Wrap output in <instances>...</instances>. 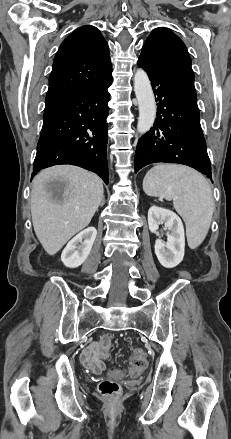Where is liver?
Here are the masks:
<instances>
[{"mask_svg": "<svg viewBox=\"0 0 231 439\" xmlns=\"http://www.w3.org/2000/svg\"><path fill=\"white\" fill-rule=\"evenodd\" d=\"M60 179L55 190L51 181ZM102 180L95 174L68 165L42 170L33 180L31 215L35 234L49 255L56 254L70 238L89 225L103 196Z\"/></svg>", "mask_w": 231, "mask_h": 439, "instance_id": "obj_1", "label": "liver"}]
</instances>
